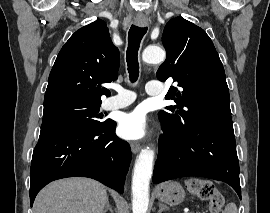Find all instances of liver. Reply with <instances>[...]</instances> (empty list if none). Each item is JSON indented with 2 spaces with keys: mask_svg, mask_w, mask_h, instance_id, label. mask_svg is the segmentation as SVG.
Returning <instances> with one entry per match:
<instances>
[{
  "mask_svg": "<svg viewBox=\"0 0 270 213\" xmlns=\"http://www.w3.org/2000/svg\"><path fill=\"white\" fill-rule=\"evenodd\" d=\"M106 188L87 178H69L46 186L36 197L34 213H103Z\"/></svg>",
  "mask_w": 270,
  "mask_h": 213,
  "instance_id": "1",
  "label": "liver"
}]
</instances>
